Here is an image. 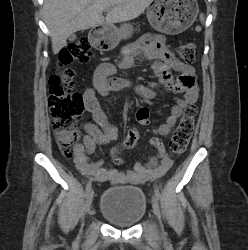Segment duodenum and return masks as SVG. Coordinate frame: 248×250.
Returning a JSON list of instances; mask_svg holds the SVG:
<instances>
[{
	"label": "duodenum",
	"mask_w": 248,
	"mask_h": 250,
	"mask_svg": "<svg viewBox=\"0 0 248 250\" xmlns=\"http://www.w3.org/2000/svg\"><path fill=\"white\" fill-rule=\"evenodd\" d=\"M101 34H95L94 37L97 38L98 36H100Z\"/></svg>",
	"instance_id": "1"
}]
</instances>
